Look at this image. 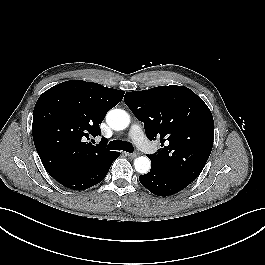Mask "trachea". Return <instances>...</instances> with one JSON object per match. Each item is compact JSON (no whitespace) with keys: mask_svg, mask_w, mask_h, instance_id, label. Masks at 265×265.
<instances>
[{"mask_svg":"<svg viewBox=\"0 0 265 265\" xmlns=\"http://www.w3.org/2000/svg\"><path fill=\"white\" fill-rule=\"evenodd\" d=\"M107 147L110 150H124L129 153H132L134 151V147L130 142L121 140H113L108 144Z\"/></svg>","mask_w":265,"mask_h":265,"instance_id":"trachea-1","label":"trachea"}]
</instances>
